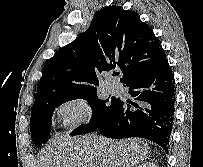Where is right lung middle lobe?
Instances as JSON below:
<instances>
[{
	"instance_id": "dd1d6c3e",
	"label": "right lung middle lobe",
	"mask_w": 203,
	"mask_h": 167,
	"mask_svg": "<svg viewBox=\"0 0 203 167\" xmlns=\"http://www.w3.org/2000/svg\"><path fill=\"white\" fill-rule=\"evenodd\" d=\"M81 98L87 100L92 106V118L88 124L76 128L71 135H80L95 131L101 120L114 108L117 103V99L111 100L110 103H107L109 101L108 99L100 100L97 97V91L77 96L58 97L46 101L40 106L32 109L31 113V137L37 147H41L42 144L48 141L51 129V117L55 108L67 101Z\"/></svg>"
}]
</instances>
